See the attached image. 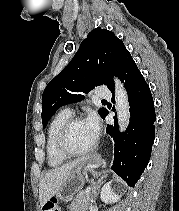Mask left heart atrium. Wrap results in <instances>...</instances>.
Wrapping results in <instances>:
<instances>
[{
    "label": "left heart atrium",
    "mask_w": 179,
    "mask_h": 211,
    "mask_svg": "<svg viewBox=\"0 0 179 211\" xmlns=\"http://www.w3.org/2000/svg\"><path fill=\"white\" fill-rule=\"evenodd\" d=\"M84 123L91 134L92 138L96 141L100 135L101 123L99 117L95 113H90L84 120Z\"/></svg>",
    "instance_id": "left-heart-atrium-1"
}]
</instances>
